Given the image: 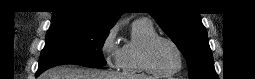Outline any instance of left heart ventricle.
Masks as SVG:
<instances>
[{"mask_svg": "<svg viewBox=\"0 0 255 79\" xmlns=\"http://www.w3.org/2000/svg\"><path fill=\"white\" fill-rule=\"evenodd\" d=\"M150 55L152 64L161 71H171L178 66V54L168 42L158 41Z\"/></svg>", "mask_w": 255, "mask_h": 79, "instance_id": "left-heart-ventricle-1", "label": "left heart ventricle"}]
</instances>
